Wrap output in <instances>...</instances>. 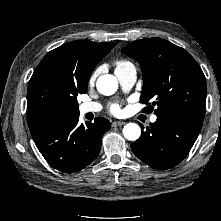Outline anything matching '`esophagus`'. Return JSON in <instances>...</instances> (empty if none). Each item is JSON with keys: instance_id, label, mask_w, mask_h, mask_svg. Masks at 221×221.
<instances>
[{"instance_id": "obj_1", "label": "esophagus", "mask_w": 221, "mask_h": 221, "mask_svg": "<svg viewBox=\"0 0 221 221\" xmlns=\"http://www.w3.org/2000/svg\"><path fill=\"white\" fill-rule=\"evenodd\" d=\"M125 122L123 121H114L112 122V127H118V126H123Z\"/></svg>"}]
</instances>
